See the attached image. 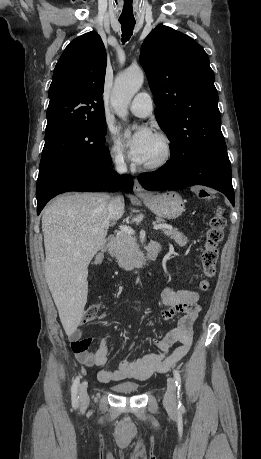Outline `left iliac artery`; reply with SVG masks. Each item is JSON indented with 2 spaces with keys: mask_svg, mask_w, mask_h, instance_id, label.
<instances>
[{
  "mask_svg": "<svg viewBox=\"0 0 261 459\" xmlns=\"http://www.w3.org/2000/svg\"><path fill=\"white\" fill-rule=\"evenodd\" d=\"M174 374V379H175V383H176V386L178 388V398L180 397V388H181V376H180V373L177 371V370H174L173 372ZM178 408L182 409L183 406L179 400V404H178Z\"/></svg>",
  "mask_w": 261,
  "mask_h": 459,
  "instance_id": "obj_1",
  "label": "left iliac artery"
}]
</instances>
